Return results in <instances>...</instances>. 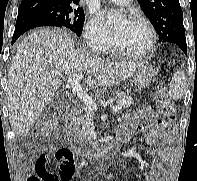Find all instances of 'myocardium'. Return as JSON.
<instances>
[{"mask_svg": "<svg viewBox=\"0 0 197 181\" xmlns=\"http://www.w3.org/2000/svg\"><path fill=\"white\" fill-rule=\"evenodd\" d=\"M130 21L140 23L148 29V31L150 33V44H149L148 48L142 52H131V51H128V50L124 49L123 47H121L118 44L116 38L113 41V48H114L115 52H117L118 54H120L122 56L128 57V58L142 59V58L148 57L156 49L157 39H158L157 32H156L154 26L152 25V23L144 17L134 15L130 18Z\"/></svg>", "mask_w": 197, "mask_h": 181, "instance_id": "obj_1", "label": "myocardium"}]
</instances>
